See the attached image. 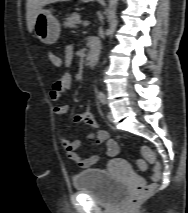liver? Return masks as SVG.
Wrapping results in <instances>:
<instances>
[{
    "label": "liver",
    "instance_id": "liver-1",
    "mask_svg": "<svg viewBox=\"0 0 188 213\" xmlns=\"http://www.w3.org/2000/svg\"><path fill=\"white\" fill-rule=\"evenodd\" d=\"M59 0H27L26 5V17H27V28L31 33L34 29L35 19L40 9L51 2H55Z\"/></svg>",
    "mask_w": 188,
    "mask_h": 213
}]
</instances>
